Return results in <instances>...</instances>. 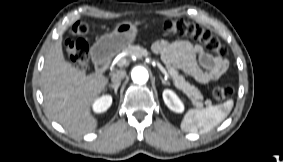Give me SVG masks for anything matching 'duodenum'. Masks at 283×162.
I'll use <instances>...</instances> for the list:
<instances>
[{
	"instance_id": "obj_1",
	"label": "duodenum",
	"mask_w": 283,
	"mask_h": 162,
	"mask_svg": "<svg viewBox=\"0 0 283 162\" xmlns=\"http://www.w3.org/2000/svg\"><path fill=\"white\" fill-rule=\"evenodd\" d=\"M96 67L100 72H104L108 69L111 63V58L108 53L103 49H97L94 53Z\"/></svg>"
}]
</instances>
